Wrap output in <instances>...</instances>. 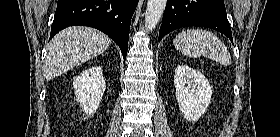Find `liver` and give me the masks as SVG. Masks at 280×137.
<instances>
[{
  "label": "liver",
  "instance_id": "obj_1",
  "mask_svg": "<svg viewBox=\"0 0 280 137\" xmlns=\"http://www.w3.org/2000/svg\"><path fill=\"white\" fill-rule=\"evenodd\" d=\"M111 39L90 27H69L49 43L44 76L47 80L103 53Z\"/></svg>",
  "mask_w": 280,
  "mask_h": 137
}]
</instances>
